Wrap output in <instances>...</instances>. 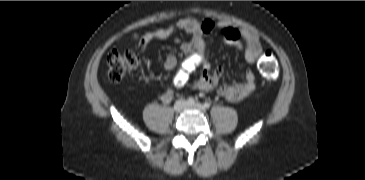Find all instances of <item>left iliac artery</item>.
<instances>
[{
	"mask_svg": "<svg viewBox=\"0 0 365 180\" xmlns=\"http://www.w3.org/2000/svg\"><path fill=\"white\" fill-rule=\"evenodd\" d=\"M204 107H205V108H209V107H210V103H209V102H205V103H204Z\"/></svg>",
	"mask_w": 365,
	"mask_h": 180,
	"instance_id": "left-iliac-artery-1",
	"label": "left iliac artery"
}]
</instances>
